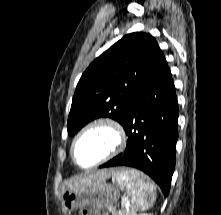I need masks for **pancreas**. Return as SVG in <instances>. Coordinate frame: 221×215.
Instances as JSON below:
<instances>
[{
  "instance_id": "1",
  "label": "pancreas",
  "mask_w": 221,
  "mask_h": 215,
  "mask_svg": "<svg viewBox=\"0 0 221 215\" xmlns=\"http://www.w3.org/2000/svg\"><path fill=\"white\" fill-rule=\"evenodd\" d=\"M113 215H136L134 211H130V210H125V211H121V212H113Z\"/></svg>"
}]
</instances>
